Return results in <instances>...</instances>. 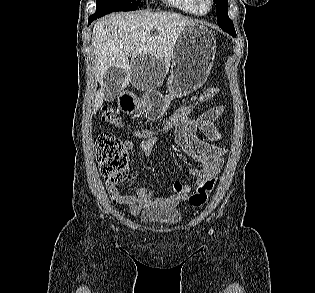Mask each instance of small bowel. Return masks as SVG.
Returning a JSON list of instances; mask_svg holds the SVG:
<instances>
[{
    "mask_svg": "<svg viewBox=\"0 0 315 293\" xmlns=\"http://www.w3.org/2000/svg\"><path fill=\"white\" fill-rule=\"evenodd\" d=\"M198 99L193 97V100L198 101ZM224 111L225 108L223 106H214L199 113L196 118H191L188 115L182 117L171 128L174 130L177 147L200 165V168L190 169V174L196 177V187L218 174L223 166L225 149L214 143L199 139L197 132H202L212 142L221 141L222 133L215 126L214 121ZM155 146L167 147L156 136L144 137L140 141L141 151L146 157L151 155ZM126 147L128 150H131L134 145L131 141H127ZM106 190L113 204L127 205L133 214H137L142 208L153 206L175 207L187 199L193 187L189 184L175 181L172 186V194L166 197H155L154 190L147 186L138 187L134 194H122L116 185L106 183Z\"/></svg>",
    "mask_w": 315,
    "mask_h": 293,
    "instance_id": "small-bowel-1",
    "label": "small bowel"
}]
</instances>
